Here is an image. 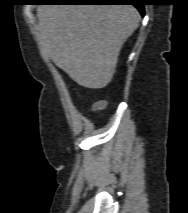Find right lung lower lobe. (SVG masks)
Returning a JSON list of instances; mask_svg holds the SVG:
<instances>
[{"mask_svg":"<svg viewBox=\"0 0 188 213\" xmlns=\"http://www.w3.org/2000/svg\"><path fill=\"white\" fill-rule=\"evenodd\" d=\"M47 2L66 3H133V5L144 15V4L141 0H47Z\"/></svg>","mask_w":188,"mask_h":213,"instance_id":"1","label":"right lung lower lobe"}]
</instances>
